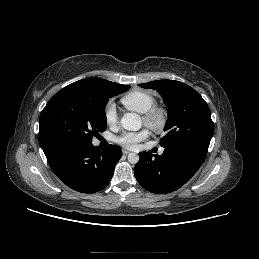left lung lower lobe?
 Returning <instances> with one entry per match:
<instances>
[{
	"instance_id": "1",
	"label": "left lung lower lobe",
	"mask_w": 259,
	"mask_h": 259,
	"mask_svg": "<svg viewBox=\"0 0 259 259\" xmlns=\"http://www.w3.org/2000/svg\"><path fill=\"white\" fill-rule=\"evenodd\" d=\"M207 148L193 144H176L164 147L162 155L139 153L134 167L138 183L146 190L165 194L184 185L200 168Z\"/></svg>"
}]
</instances>
